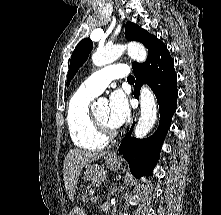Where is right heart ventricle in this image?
I'll list each match as a JSON object with an SVG mask.
<instances>
[{"instance_id": "e07e8e85", "label": "right heart ventricle", "mask_w": 221, "mask_h": 215, "mask_svg": "<svg viewBox=\"0 0 221 215\" xmlns=\"http://www.w3.org/2000/svg\"><path fill=\"white\" fill-rule=\"evenodd\" d=\"M95 96L78 89L67 106V128L73 144L81 149L98 150L105 147L103 137L93 121L90 103Z\"/></svg>"}]
</instances>
